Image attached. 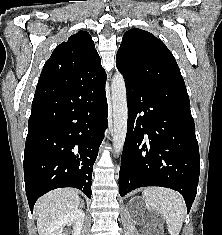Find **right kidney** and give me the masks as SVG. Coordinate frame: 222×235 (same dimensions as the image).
I'll use <instances>...</instances> for the list:
<instances>
[{
    "instance_id": "obj_1",
    "label": "right kidney",
    "mask_w": 222,
    "mask_h": 235,
    "mask_svg": "<svg viewBox=\"0 0 222 235\" xmlns=\"http://www.w3.org/2000/svg\"><path fill=\"white\" fill-rule=\"evenodd\" d=\"M85 219V213L81 209H77L55 220L47 229L46 235H65L63 227L72 225V235H81L82 226Z\"/></svg>"
}]
</instances>
